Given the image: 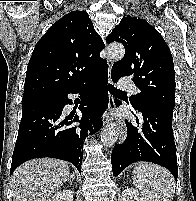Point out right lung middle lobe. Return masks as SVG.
<instances>
[{"mask_svg": "<svg viewBox=\"0 0 196 201\" xmlns=\"http://www.w3.org/2000/svg\"><path fill=\"white\" fill-rule=\"evenodd\" d=\"M49 97H50V95H37V96L23 97L22 106L38 103V102L48 99Z\"/></svg>", "mask_w": 196, "mask_h": 201, "instance_id": "obj_1", "label": "right lung middle lobe"}]
</instances>
